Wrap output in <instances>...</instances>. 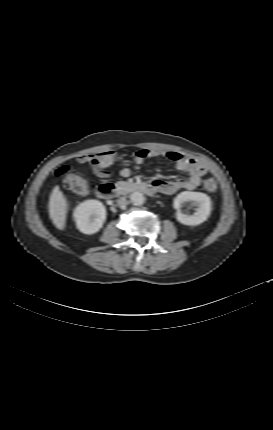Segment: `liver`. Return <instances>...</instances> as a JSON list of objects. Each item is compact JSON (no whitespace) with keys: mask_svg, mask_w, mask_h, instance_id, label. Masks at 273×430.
Returning <instances> with one entry per match:
<instances>
[{"mask_svg":"<svg viewBox=\"0 0 273 430\" xmlns=\"http://www.w3.org/2000/svg\"><path fill=\"white\" fill-rule=\"evenodd\" d=\"M67 211V199L60 191L59 186H55L49 199V215L59 230H64L65 228Z\"/></svg>","mask_w":273,"mask_h":430,"instance_id":"liver-1","label":"liver"}]
</instances>
